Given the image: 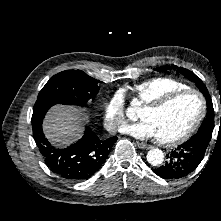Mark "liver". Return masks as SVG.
<instances>
[{"label":"liver","instance_id":"6515ba94","mask_svg":"<svg viewBox=\"0 0 221 221\" xmlns=\"http://www.w3.org/2000/svg\"><path fill=\"white\" fill-rule=\"evenodd\" d=\"M46 138L56 147H66L82 133L78 112L70 107L56 105L46 115L43 123Z\"/></svg>","mask_w":221,"mask_h":221}]
</instances>
